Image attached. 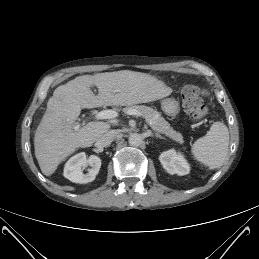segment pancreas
<instances>
[{
  "label": "pancreas",
  "instance_id": "1",
  "mask_svg": "<svg viewBox=\"0 0 259 259\" xmlns=\"http://www.w3.org/2000/svg\"><path fill=\"white\" fill-rule=\"evenodd\" d=\"M130 109L139 111L154 131L164 134L172 140L183 144L184 140L181 133L175 131L157 110L145 105H134L124 108V112H127Z\"/></svg>",
  "mask_w": 259,
  "mask_h": 259
}]
</instances>
